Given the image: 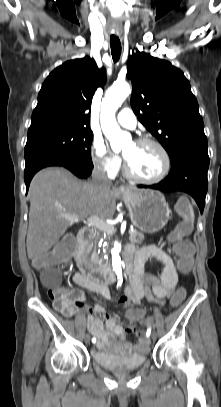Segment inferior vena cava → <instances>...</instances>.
<instances>
[{"instance_id": "obj_1", "label": "inferior vena cava", "mask_w": 221, "mask_h": 407, "mask_svg": "<svg viewBox=\"0 0 221 407\" xmlns=\"http://www.w3.org/2000/svg\"><path fill=\"white\" fill-rule=\"evenodd\" d=\"M92 183L99 188H106L111 186V181L108 179L102 167L94 168L92 172Z\"/></svg>"}]
</instances>
